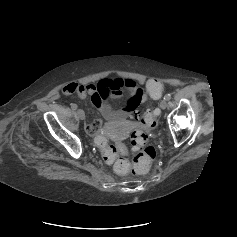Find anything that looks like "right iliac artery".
I'll list each match as a JSON object with an SVG mask.
<instances>
[{
    "mask_svg": "<svg viewBox=\"0 0 237 237\" xmlns=\"http://www.w3.org/2000/svg\"><path fill=\"white\" fill-rule=\"evenodd\" d=\"M71 108L73 109V110H76L77 109V105L76 104H71Z\"/></svg>",
    "mask_w": 237,
    "mask_h": 237,
    "instance_id": "obj_1",
    "label": "right iliac artery"
}]
</instances>
